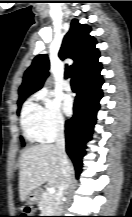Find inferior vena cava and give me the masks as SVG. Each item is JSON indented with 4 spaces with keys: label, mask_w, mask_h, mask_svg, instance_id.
Segmentation results:
<instances>
[{
    "label": "inferior vena cava",
    "mask_w": 132,
    "mask_h": 217,
    "mask_svg": "<svg viewBox=\"0 0 132 217\" xmlns=\"http://www.w3.org/2000/svg\"><path fill=\"white\" fill-rule=\"evenodd\" d=\"M55 146L57 149L59 165L63 176V180L58 187V192L56 195L55 213L57 216H61L63 213L64 195L67 193L73 173L72 164L68 160L65 152L64 123H61L58 127Z\"/></svg>",
    "instance_id": "obj_1"
}]
</instances>
